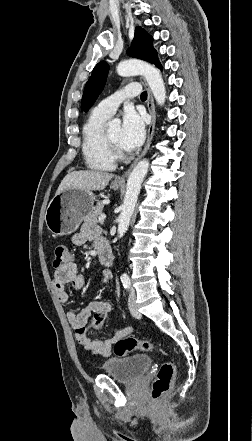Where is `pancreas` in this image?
I'll list each match as a JSON object with an SVG mask.
<instances>
[{
    "mask_svg": "<svg viewBox=\"0 0 252 441\" xmlns=\"http://www.w3.org/2000/svg\"><path fill=\"white\" fill-rule=\"evenodd\" d=\"M103 207L104 205L101 202L97 203L93 210L85 217V220L87 222L98 223V218L103 212Z\"/></svg>",
    "mask_w": 252,
    "mask_h": 441,
    "instance_id": "pancreas-1",
    "label": "pancreas"
}]
</instances>
